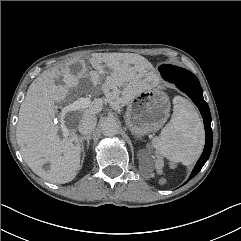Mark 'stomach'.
Returning a JSON list of instances; mask_svg holds the SVG:
<instances>
[{
  "label": "stomach",
  "mask_w": 241,
  "mask_h": 241,
  "mask_svg": "<svg viewBox=\"0 0 241 241\" xmlns=\"http://www.w3.org/2000/svg\"><path fill=\"white\" fill-rule=\"evenodd\" d=\"M170 102L166 93L150 88L141 92L128 104L125 122L136 135H147L162 128L169 117Z\"/></svg>",
  "instance_id": "0dacf381"
}]
</instances>
